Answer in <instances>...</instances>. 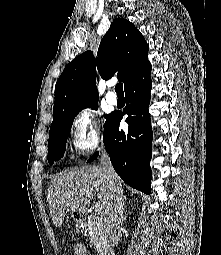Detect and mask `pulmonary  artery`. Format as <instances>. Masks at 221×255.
<instances>
[{
    "label": "pulmonary artery",
    "mask_w": 221,
    "mask_h": 255,
    "mask_svg": "<svg viewBox=\"0 0 221 255\" xmlns=\"http://www.w3.org/2000/svg\"><path fill=\"white\" fill-rule=\"evenodd\" d=\"M109 86H112V84H109ZM106 101L111 105H116L118 102V98L112 91H109L106 94Z\"/></svg>",
    "instance_id": "1"
}]
</instances>
